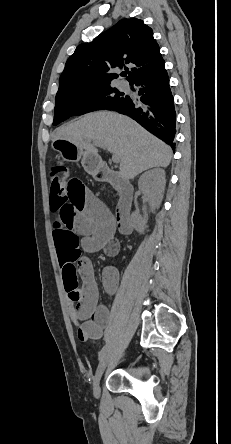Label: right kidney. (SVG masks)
<instances>
[{
  "label": "right kidney",
  "instance_id": "ca27d5eb",
  "mask_svg": "<svg viewBox=\"0 0 231 444\" xmlns=\"http://www.w3.org/2000/svg\"><path fill=\"white\" fill-rule=\"evenodd\" d=\"M165 183V172L160 168L149 170L139 178V190L144 194L152 209L160 207ZM131 221L134 229L140 233H143L147 228V220L138 212L132 213Z\"/></svg>",
  "mask_w": 231,
  "mask_h": 444
}]
</instances>
